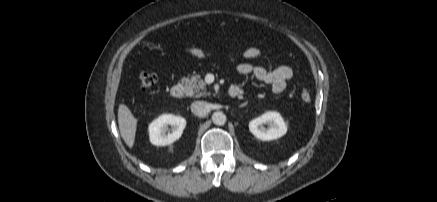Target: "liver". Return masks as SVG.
I'll return each instance as SVG.
<instances>
[{
    "label": "liver",
    "mask_w": 437,
    "mask_h": 202,
    "mask_svg": "<svg viewBox=\"0 0 437 202\" xmlns=\"http://www.w3.org/2000/svg\"><path fill=\"white\" fill-rule=\"evenodd\" d=\"M138 119L134 117L131 110L124 104L118 108V124L121 137L129 148H132L135 142Z\"/></svg>",
    "instance_id": "liver-1"
}]
</instances>
